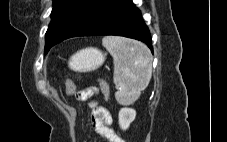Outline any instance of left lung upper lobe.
<instances>
[{"label":"left lung upper lobe","instance_id":"1","mask_svg":"<svg viewBox=\"0 0 227 142\" xmlns=\"http://www.w3.org/2000/svg\"><path fill=\"white\" fill-rule=\"evenodd\" d=\"M110 0H53L51 22L45 35V53L70 38L87 24Z\"/></svg>","mask_w":227,"mask_h":142}]
</instances>
